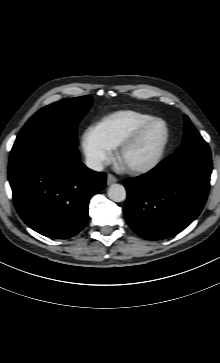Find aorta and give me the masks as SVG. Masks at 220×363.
Segmentation results:
<instances>
[{"label":"aorta","mask_w":220,"mask_h":363,"mask_svg":"<svg viewBox=\"0 0 220 363\" xmlns=\"http://www.w3.org/2000/svg\"><path fill=\"white\" fill-rule=\"evenodd\" d=\"M108 197L114 202H122L126 199L125 187L121 184H112L107 191Z\"/></svg>","instance_id":"aorta-1"}]
</instances>
